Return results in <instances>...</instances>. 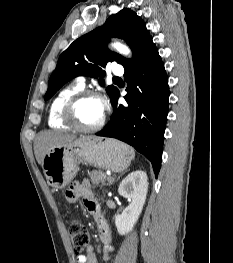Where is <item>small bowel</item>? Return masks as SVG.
I'll use <instances>...</instances> for the list:
<instances>
[{
	"mask_svg": "<svg viewBox=\"0 0 233 263\" xmlns=\"http://www.w3.org/2000/svg\"><path fill=\"white\" fill-rule=\"evenodd\" d=\"M66 198L70 202H76L79 199L83 200L85 209L90 212L97 223L99 237L104 244L103 258L108 260L109 254L115 250L111 245L110 229L100 214L99 205L96 202L93 193L91 192L88 182H74L66 191ZM77 263H98L95 256L93 247L89 245L86 251L78 255L76 258Z\"/></svg>",
	"mask_w": 233,
	"mask_h": 263,
	"instance_id": "obj_1",
	"label": "small bowel"
}]
</instances>
